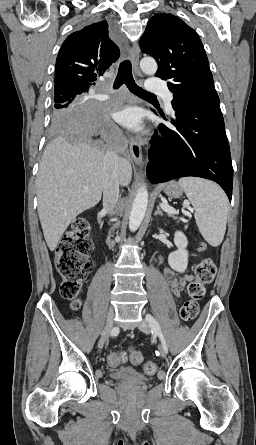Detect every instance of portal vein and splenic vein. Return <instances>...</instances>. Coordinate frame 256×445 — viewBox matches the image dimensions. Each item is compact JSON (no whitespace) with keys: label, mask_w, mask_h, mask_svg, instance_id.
I'll list each match as a JSON object with an SVG mask.
<instances>
[{"label":"portal vein and splenic vein","mask_w":256,"mask_h":445,"mask_svg":"<svg viewBox=\"0 0 256 445\" xmlns=\"http://www.w3.org/2000/svg\"><path fill=\"white\" fill-rule=\"evenodd\" d=\"M88 189L84 188V192H87ZM184 206L190 208L189 206V202L188 201H184ZM161 207L163 208V210L165 212H167L168 214H177L178 211H176L174 208H172L171 206H169L166 202L161 203ZM190 210H193L190 208Z\"/></svg>","instance_id":"portal-vein-and-splenic-vein-1"}]
</instances>
